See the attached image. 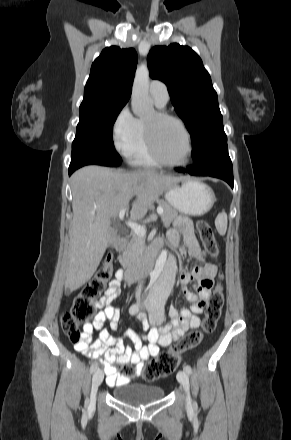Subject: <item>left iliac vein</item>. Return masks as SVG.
<instances>
[{"mask_svg": "<svg viewBox=\"0 0 291 440\" xmlns=\"http://www.w3.org/2000/svg\"><path fill=\"white\" fill-rule=\"evenodd\" d=\"M177 380L179 383L182 384L185 393L188 397V391H189V378H188V373L185 370H180L177 373Z\"/></svg>", "mask_w": 291, "mask_h": 440, "instance_id": "1", "label": "left iliac vein"}]
</instances>
